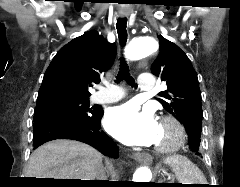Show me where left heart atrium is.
Returning a JSON list of instances; mask_svg holds the SVG:
<instances>
[{
  "label": "left heart atrium",
  "instance_id": "obj_1",
  "mask_svg": "<svg viewBox=\"0 0 240 187\" xmlns=\"http://www.w3.org/2000/svg\"><path fill=\"white\" fill-rule=\"evenodd\" d=\"M106 130L126 145L150 146L157 142L160 125L149 110L131 104L111 108L104 119Z\"/></svg>",
  "mask_w": 240,
  "mask_h": 187
}]
</instances>
